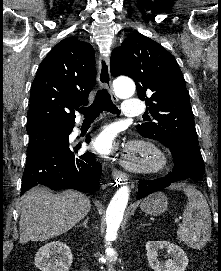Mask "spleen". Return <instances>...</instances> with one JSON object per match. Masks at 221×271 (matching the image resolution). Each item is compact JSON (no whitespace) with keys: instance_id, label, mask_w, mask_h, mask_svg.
I'll return each mask as SVG.
<instances>
[{"instance_id":"1","label":"spleen","mask_w":221,"mask_h":271,"mask_svg":"<svg viewBox=\"0 0 221 271\" xmlns=\"http://www.w3.org/2000/svg\"><path fill=\"white\" fill-rule=\"evenodd\" d=\"M188 197L183 211V223L177 229L179 241L193 249H202L211 237L210 207L200 191L185 189Z\"/></svg>"}]
</instances>
